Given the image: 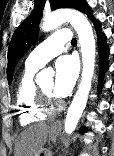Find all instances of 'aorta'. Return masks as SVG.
I'll use <instances>...</instances> for the list:
<instances>
[{"instance_id": "1", "label": "aorta", "mask_w": 114, "mask_h": 156, "mask_svg": "<svg viewBox=\"0 0 114 156\" xmlns=\"http://www.w3.org/2000/svg\"><path fill=\"white\" fill-rule=\"evenodd\" d=\"M64 22H70L78 34L83 63L81 83L65 120V132L71 134L75 130L88 100L95 67L96 46L88 19L81 12L73 9H61L45 16L42 30L45 32L51 31ZM46 76H52V72L49 70L41 71L37 80L40 81Z\"/></svg>"}]
</instances>
